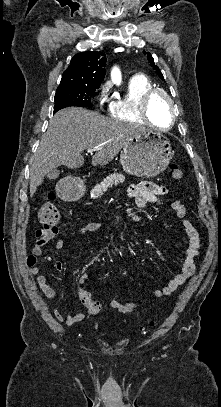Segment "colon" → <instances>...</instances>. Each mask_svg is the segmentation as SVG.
I'll return each instance as SVG.
<instances>
[{
  "mask_svg": "<svg viewBox=\"0 0 221 407\" xmlns=\"http://www.w3.org/2000/svg\"><path fill=\"white\" fill-rule=\"evenodd\" d=\"M168 169L175 181L182 180L183 171L178 164L171 163ZM49 198L50 200L42 204L38 213V219L42 227L37 231V236L41 238H51L58 232L60 212L57 205L52 201L54 196L51 194ZM81 302L88 308L91 314H97L100 311V303L93 299L85 290L81 292ZM149 325L153 326L154 323L150 322Z\"/></svg>",
  "mask_w": 221,
  "mask_h": 407,
  "instance_id": "1",
  "label": "colon"
}]
</instances>
